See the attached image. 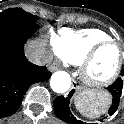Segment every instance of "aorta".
Instances as JSON below:
<instances>
[{"label":"aorta","mask_w":124,"mask_h":124,"mask_svg":"<svg viewBox=\"0 0 124 124\" xmlns=\"http://www.w3.org/2000/svg\"><path fill=\"white\" fill-rule=\"evenodd\" d=\"M50 86L56 93H65L71 86V77L65 71H57L51 76Z\"/></svg>","instance_id":"762f6f07"}]
</instances>
